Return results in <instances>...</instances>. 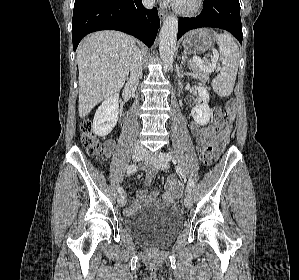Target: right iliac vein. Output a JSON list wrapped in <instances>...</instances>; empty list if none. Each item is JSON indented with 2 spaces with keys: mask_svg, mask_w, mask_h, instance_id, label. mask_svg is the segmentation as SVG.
Instances as JSON below:
<instances>
[{
  "mask_svg": "<svg viewBox=\"0 0 299 280\" xmlns=\"http://www.w3.org/2000/svg\"><path fill=\"white\" fill-rule=\"evenodd\" d=\"M145 155V150L141 147H135L133 150L132 158L135 162L140 161ZM118 204L123 207L126 204V198L124 194L118 196Z\"/></svg>",
  "mask_w": 299,
  "mask_h": 280,
  "instance_id": "right-iliac-vein-1",
  "label": "right iliac vein"
}]
</instances>
